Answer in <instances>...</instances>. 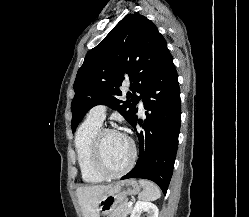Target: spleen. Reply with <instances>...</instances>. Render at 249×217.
<instances>
[{
    "label": "spleen",
    "mask_w": 249,
    "mask_h": 217,
    "mask_svg": "<svg viewBox=\"0 0 249 217\" xmlns=\"http://www.w3.org/2000/svg\"><path fill=\"white\" fill-rule=\"evenodd\" d=\"M139 183L143 187V191L138 196L140 200L150 201L160 198L161 192L156 184L143 179H140Z\"/></svg>",
    "instance_id": "spleen-1"
}]
</instances>
